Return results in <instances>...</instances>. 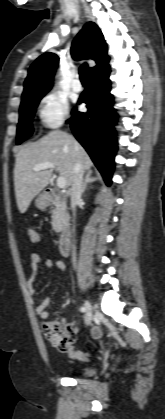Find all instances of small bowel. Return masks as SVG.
Masks as SVG:
<instances>
[{
  "instance_id": "1",
  "label": "small bowel",
  "mask_w": 165,
  "mask_h": 419,
  "mask_svg": "<svg viewBox=\"0 0 165 419\" xmlns=\"http://www.w3.org/2000/svg\"><path fill=\"white\" fill-rule=\"evenodd\" d=\"M40 262H41V258L37 253H31L30 255V269H31V276L28 280V284H27V290L29 292L30 295H33L36 292L35 289V282L38 278V272H39V267H40ZM45 266L47 268H57L58 270H60L61 272H65L66 271V266L65 263L61 260H57V259H52V258H48L45 260ZM50 304V298L49 297H44L35 307V311L37 313V315L42 318V319H47L48 318V311L47 308ZM71 339L69 342L65 343V344H55L54 343V347L61 353H66L68 354L71 358L75 359V360H79V361H87L89 356L87 353L76 349L73 344L76 340V329L75 327L71 326ZM99 333L98 329H93L91 332L92 336H95Z\"/></svg>"
}]
</instances>
